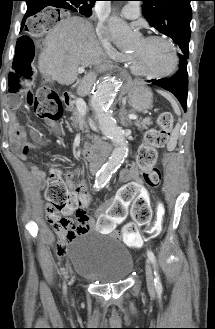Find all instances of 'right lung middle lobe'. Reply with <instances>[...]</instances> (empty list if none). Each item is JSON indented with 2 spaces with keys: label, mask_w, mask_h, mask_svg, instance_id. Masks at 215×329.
I'll return each instance as SVG.
<instances>
[{
  "label": "right lung middle lobe",
  "mask_w": 215,
  "mask_h": 329,
  "mask_svg": "<svg viewBox=\"0 0 215 329\" xmlns=\"http://www.w3.org/2000/svg\"><path fill=\"white\" fill-rule=\"evenodd\" d=\"M63 7L64 9L78 12L88 17L89 15H91L93 5L88 4L83 0H67Z\"/></svg>",
  "instance_id": "obj_1"
}]
</instances>
